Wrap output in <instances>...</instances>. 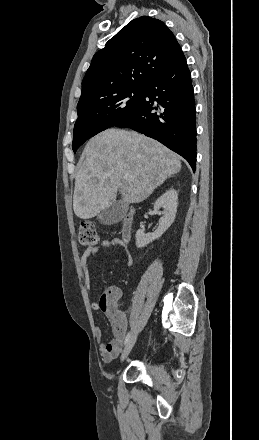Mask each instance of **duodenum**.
I'll return each instance as SVG.
<instances>
[{
    "label": "duodenum",
    "mask_w": 259,
    "mask_h": 440,
    "mask_svg": "<svg viewBox=\"0 0 259 440\" xmlns=\"http://www.w3.org/2000/svg\"><path fill=\"white\" fill-rule=\"evenodd\" d=\"M135 211L133 208L126 210L122 219L121 236L125 242L131 239L134 227Z\"/></svg>",
    "instance_id": "obj_1"
}]
</instances>
